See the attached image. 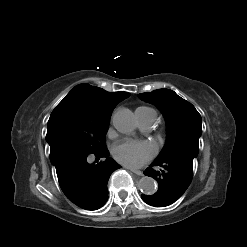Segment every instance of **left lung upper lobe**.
<instances>
[{
    "label": "left lung upper lobe",
    "mask_w": 247,
    "mask_h": 247,
    "mask_svg": "<svg viewBox=\"0 0 247 247\" xmlns=\"http://www.w3.org/2000/svg\"><path fill=\"white\" fill-rule=\"evenodd\" d=\"M138 96L156 105L167 122V142L158 158L176 154L195 158L198 155V141L202 132L201 116L195 107L169 89H158Z\"/></svg>",
    "instance_id": "left-lung-upper-lobe-1"
}]
</instances>
